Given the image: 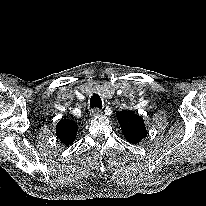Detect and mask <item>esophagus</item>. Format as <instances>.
Instances as JSON below:
<instances>
[{
  "label": "esophagus",
  "mask_w": 206,
  "mask_h": 206,
  "mask_svg": "<svg viewBox=\"0 0 206 206\" xmlns=\"http://www.w3.org/2000/svg\"><path fill=\"white\" fill-rule=\"evenodd\" d=\"M90 115H91L92 117H99V116L102 115V111H101V109H99V108H94V109H92V110L90 111Z\"/></svg>",
  "instance_id": "obj_1"
}]
</instances>
